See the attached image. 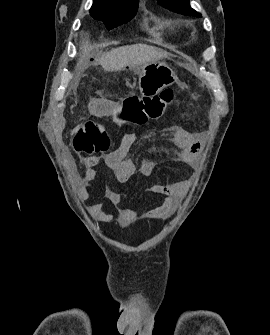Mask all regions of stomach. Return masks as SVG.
Here are the masks:
<instances>
[{
    "label": "stomach",
    "mask_w": 270,
    "mask_h": 335,
    "mask_svg": "<svg viewBox=\"0 0 270 335\" xmlns=\"http://www.w3.org/2000/svg\"><path fill=\"white\" fill-rule=\"evenodd\" d=\"M138 74V88L142 98H153L163 86L177 82V76L165 62H147Z\"/></svg>",
    "instance_id": "0dacf381"
}]
</instances>
